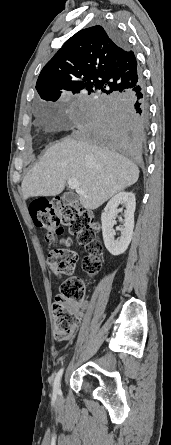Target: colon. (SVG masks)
Instances as JSON below:
<instances>
[{
  "instance_id": "1",
  "label": "colon",
  "mask_w": 171,
  "mask_h": 445,
  "mask_svg": "<svg viewBox=\"0 0 171 445\" xmlns=\"http://www.w3.org/2000/svg\"><path fill=\"white\" fill-rule=\"evenodd\" d=\"M35 226L46 230V240L52 241L68 229L76 236L80 245L89 253L83 262V268L89 276L95 275L100 268L97 255L102 245L97 238L98 223L94 214L83 209L77 203L61 199L51 201L36 200L29 207ZM47 264L58 277H67L60 287L53 303L54 335L56 339L69 340L79 324L78 307L85 295V283L82 278L73 276L77 256L65 248L48 251Z\"/></svg>"
}]
</instances>
